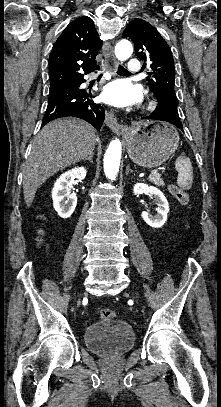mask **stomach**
I'll return each mask as SVG.
<instances>
[{
    "instance_id": "obj_1",
    "label": "stomach",
    "mask_w": 221,
    "mask_h": 407,
    "mask_svg": "<svg viewBox=\"0 0 221 407\" xmlns=\"http://www.w3.org/2000/svg\"><path fill=\"white\" fill-rule=\"evenodd\" d=\"M179 134L169 123L144 121L126 134L127 152L139 166L155 168L166 162L179 146Z\"/></svg>"
}]
</instances>
